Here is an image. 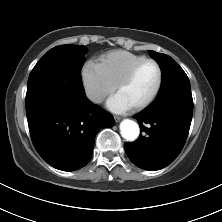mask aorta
Returning <instances> with one entry per match:
<instances>
[{
	"mask_svg": "<svg viewBox=\"0 0 222 222\" xmlns=\"http://www.w3.org/2000/svg\"><path fill=\"white\" fill-rule=\"evenodd\" d=\"M120 133L127 141H135L140 133L138 124L135 121L125 119L120 124Z\"/></svg>",
	"mask_w": 222,
	"mask_h": 222,
	"instance_id": "762f6f07",
	"label": "aorta"
}]
</instances>
